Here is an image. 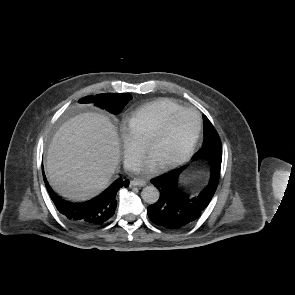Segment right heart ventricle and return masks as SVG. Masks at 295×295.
Masks as SVG:
<instances>
[{
    "label": "right heart ventricle",
    "mask_w": 295,
    "mask_h": 295,
    "mask_svg": "<svg viewBox=\"0 0 295 295\" xmlns=\"http://www.w3.org/2000/svg\"><path fill=\"white\" fill-rule=\"evenodd\" d=\"M183 107L170 99H160L133 112L127 119L128 131L145 145L151 135L174 112Z\"/></svg>",
    "instance_id": "1"
}]
</instances>
